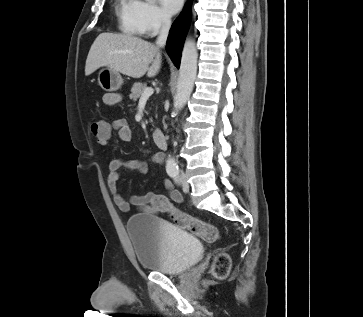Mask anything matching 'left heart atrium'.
I'll return each mask as SVG.
<instances>
[{
	"instance_id": "1",
	"label": "left heart atrium",
	"mask_w": 363,
	"mask_h": 317,
	"mask_svg": "<svg viewBox=\"0 0 363 317\" xmlns=\"http://www.w3.org/2000/svg\"><path fill=\"white\" fill-rule=\"evenodd\" d=\"M164 11L168 15L175 14L182 6L183 0H160Z\"/></svg>"
}]
</instances>
